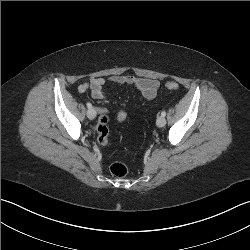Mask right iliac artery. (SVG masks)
<instances>
[{
	"label": "right iliac artery",
	"instance_id": "82829eb1",
	"mask_svg": "<svg viewBox=\"0 0 250 250\" xmlns=\"http://www.w3.org/2000/svg\"><path fill=\"white\" fill-rule=\"evenodd\" d=\"M86 105H87L88 108H92L91 103L88 102Z\"/></svg>",
	"mask_w": 250,
	"mask_h": 250
}]
</instances>
